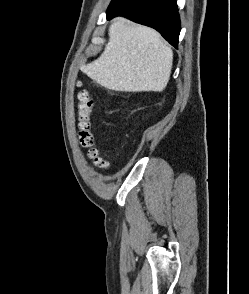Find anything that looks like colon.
Wrapping results in <instances>:
<instances>
[{
	"mask_svg": "<svg viewBox=\"0 0 249 294\" xmlns=\"http://www.w3.org/2000/svg\"><path fill=\"white\" fill-rule=\"evenodd\" d=\"M92 113H93V100L89 90L82 88L78 92L77 96V121L80 143L83 147H89L90 158L100 168H107V162L101 159L98 155V151L91 148L94 143L93 134L91 132L92 125Z\"/></svg>",
	"mask_w": 249,
	"mask_h": 294,
	"instance_id": "5ec220e1",
	"label": "colon"
}]
</instances>
